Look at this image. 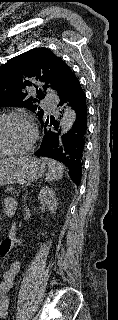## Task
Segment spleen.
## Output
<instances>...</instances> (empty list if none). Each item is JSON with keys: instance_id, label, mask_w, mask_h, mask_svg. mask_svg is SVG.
<instances>
[{"instance_id": "3e777b00", "label": "spleen", "mask_w": 118, "mask_h": 320, "mask_svg": "<svg viewBox=\"0 0 118 320\" xmlns=\"http://www.w3.org/2000/svg\"><path fill=\"white\" fill-rule=\"evenodd\" d=\"M42 161L48 166L46 181H58L63 177L64 166L61 163L46 157L42 158Z\"/></svg>"}]
</instances>
